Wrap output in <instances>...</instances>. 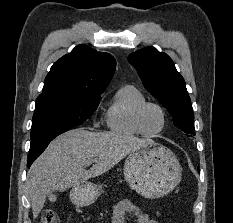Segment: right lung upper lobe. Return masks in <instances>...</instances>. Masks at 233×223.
Masks as SVG:
<instances>
[{
	"label": "right lung upper lobe",
	"mask_w": 233,
	"mask_h": 223,
	"mask_svg": "<svg viewBox=\"0 0 233 223\" xmlns=\"http://www.w3.org/2000/svg\"><path fill=\"white\" fill-rule=\"evenodd\" d=\"M116 61L109 53L97 52L82 44L51 67L43 92L80 96H100L115 72Z\"/></svg>",
	"instance_id": "cb5924a9"
}]
</instances>
